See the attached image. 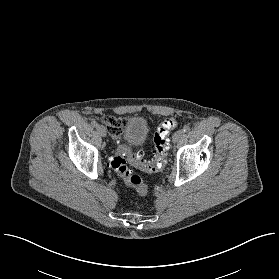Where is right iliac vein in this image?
<instances>
[{
    "mask_svg": "<svg viewBox=\"0 0 279 279\" xmlns=\"http://www.w3.org/2000/svg\"><path fill=\"white\" fill-rule=\"evenodd\" d=\"M97 131L99 132V134H100L102 137H105V136H106V129H105L104 126H102V125L97 126Z\"/></svg>",
    "mask_w": 279,
    "mask_h": 279,
    "instance_id": "obj_1",
    "label": "right iliac vein"
}]
</instances>
